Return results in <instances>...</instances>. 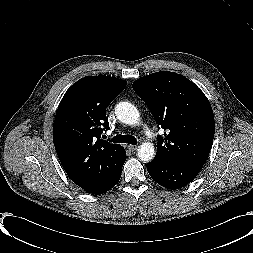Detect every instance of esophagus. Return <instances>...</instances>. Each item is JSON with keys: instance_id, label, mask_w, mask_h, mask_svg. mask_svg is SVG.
<instances>
[{"instance_id": "1", "label": "esophagus", "mask_w": 253, "mask_h": 253, "mask_svg": "<svg viewBox=\"0 0 253 253\" xmlns=\"http://www.w3.org/2000/svg\"><path fill=\"white\" fill-rule=\"evenodd\" d=\"M127 148L131 151L134 152L137 149V146L135 145H128Z\"/></svg>"}]
</instances>
